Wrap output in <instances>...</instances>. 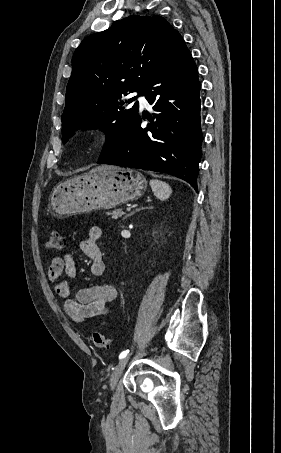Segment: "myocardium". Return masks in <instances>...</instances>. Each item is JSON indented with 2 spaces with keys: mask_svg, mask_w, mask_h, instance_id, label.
I'll return each instance as SVG.
<instances>
[{
  "mask_svg": "<svg viewBox=\"0 0 281 453\" xmlns=\"http://www.w3.org/2000/svg\"><path fill=\"white\" fill-rule=\"evenodd\" d=\"M109 138V135L106 131H97L91 136V141L93 142H105Z\"/></svg>",
  "mask_w": 281,
  "mask_h": 453,
  "instance_id": "1",
  "label": "myocardium"
}]
</instances>
